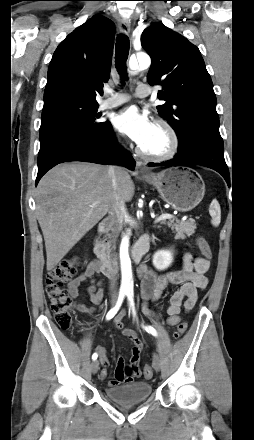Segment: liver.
Returning a JSON list of instances; mask_svg holds the SVG:
<instances>
[{
  "label": "liver",
  "instance_id": "1",
  "mask_svg": "<svg viewBox=\"0 0 254 440\" xmlns=\"http://www.w3.org/2000/svg\"><path fill=\"white\" fill-rule=\"evenodd\" d=\"M108 169L91 163H65L40 180L36 214L44 236L48 271L111 209L115 193ZM117 195L124 202L131 201L134 195L133 181L123 168ZM94 203L97 205L91 207Z\"/></svg>",
  "mask_w": 254,
  "mask_h": 440
}]
</instances>
